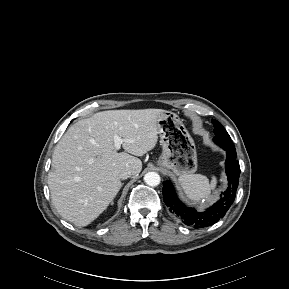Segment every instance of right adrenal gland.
<instances>
[{
  "mask_svg": "<svg viewBox=\"0 0 289 289\" xmlns=\"http://www.w3.org/2000/svg\"><path fill=\"white\" fill-rule=\"evenodd\" d=\"M123 186V184H120V186H119V189L118 190H120V188ZM111 204H113V201H112V203Z\"/></svg>",
  "mask_w": 289,
  "mask_h": 289,
  "instance_id": "right-adrenal-gland-1",
  "label": "right adrenal gland"
}]
</instances>
